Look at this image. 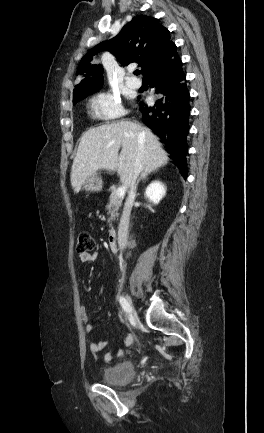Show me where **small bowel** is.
<instances>
[{
	"mask_svg": "<svg viewBox=\"0 0 264 433\" xmlns=\"http://www.w3.org/2000/svg\"><path fill=\"white\" fill-rule=\"evenodd\" d=\"M98 252L97 250H93L90 253L82 254L80 255V262L81 263H88V262H94L97 259ZM80 316L82 321L85 323V330L86 332L90 333L93 330V325L88 322V313L85 305L80 306ZM132 342V337L129 335L124 340V347H128ZM108 345L107 341H93L90 343V351L92 356L95 359H98V354L103 351ZM122 353V349H119L116 353L113 352H107L104 355V361L109 362L111 361L116 355H120Z\"/></svg>",
	"mask_w": 264,
	"mask_h": 433,
	"instance_id": "c3829d8e",
	"label": "small bowel"
}]
</instances>
